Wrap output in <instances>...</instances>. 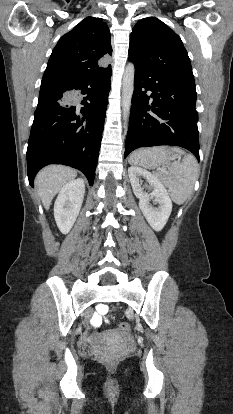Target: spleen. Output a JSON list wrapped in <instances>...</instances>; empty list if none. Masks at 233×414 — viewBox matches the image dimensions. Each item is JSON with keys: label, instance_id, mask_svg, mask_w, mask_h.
Masks as SVG:
<instances>
[{"label": "spleen", "instance_id": "3e777b00", "mask_svg": "<svg viewBox=\"0 0 233 414\" xmlns=\"http://www.w3.org/2000/svg\"><path fill=\"white\" fill-rule=\"evenodd\" d=\"M173 151L177 153L178 160L168 165V172L157 171L155 175L168 188L172 200L181 205L192 196L195 181L199 176V165L193 155L177 148ZM137 153L138 151H135L130 155L129 162L144 167L136 158ZM181 155H184L182 160Z\"/></svg>", "mask_w": 233, "mask_h": 414}]
</instances>
